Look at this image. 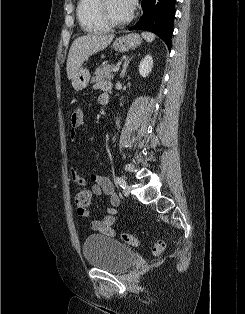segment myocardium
I'll use <instances>...</instances> for the list:
<instances>
[{"mask_svg":"<svg viewBox=\"0 0 245 314\" xmlns=\"http://www.w3.org/2000/svg\"><path fill=\"white\" fill-rule=\"evenodd\" d=\"M106 0H97L95 11L98 19L108 28H119L129 24L134 18V11H131L130 15L122 21H113L105 13V4Z\"/></svg>","mask_w":245,"mask_h":314,"instance_id":"f54148a6","label":"myocardium"}]
</instances>
